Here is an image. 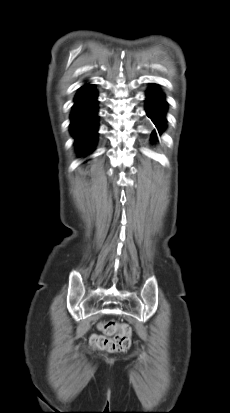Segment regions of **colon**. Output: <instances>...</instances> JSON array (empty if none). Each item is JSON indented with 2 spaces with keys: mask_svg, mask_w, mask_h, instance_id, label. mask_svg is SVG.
I'll return each instance as SVG.
<instances>
[{
  "mask_svg": "<svg viewBox=\"0 0 230 413\" xmlns=\"http://www.w3.org/2000/svg\"><path fill=\"white\" fill-rule=\"evenodd\" d=\"M100 329L102 334L90 338L93 348L107 352H122L130 348L132 331L129 325L108 320L100 325Z\"/></svg>",
  "mask_w": 230,
  "mask_h": 413,
  "instance_id": "colon-1",
  "label": "colon"
}]
</instances>
